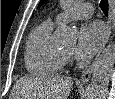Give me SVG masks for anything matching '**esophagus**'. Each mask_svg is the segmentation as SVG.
<instances>
[{
  "mask_svg": "<svg viewBox=\"0 0 115 99\" xmlns=\"http://www.w3.org/2000/svg\"><path fill=\"white\" fill-rule=\"evenodd\" d=\"M114 16H115V1L114 0H109V15H108V19H107V33H106V38L104 40L102 48L105 46L106 42L108 41V39L110 37L112 26H113V22H114ZM102 48H101V50H102ZM99 54H100V52L98 53V55L95 58V60L93 61V63L82 74V76L80 78V82L81 83L85 84V83H87L90 80Z\"/></svg>",
  "mask_w": 115,
  "mask_h": 99,
  "instance_id": "obj_1",
  "label": "esophagus"
}]
</instances>
